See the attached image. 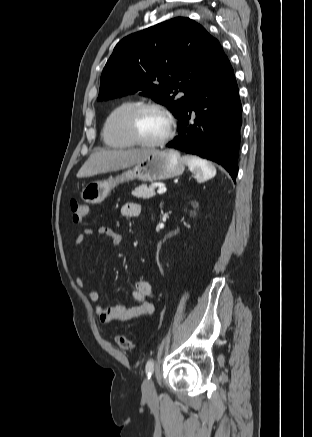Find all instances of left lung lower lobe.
I'll return each instance as SVG.
<instances>
[{
    "label": "left lung lower lobe",
    "instance_id": "left-lung-lower-lobe-1",
    "mask_svg": "<svg viewBox=\"0 0 312 437\" xmlns=\"http://www.w3.org/2000/svg\"><path fill=\"white\" fill-rule=\"evenodd\" d=\"M179 122V135L167 147L212 160L223 166L235 181L242 106L226 55L192 98Z\"/></svg>",
    "mask_w": 312,
    "mask_h": 437
}]
</instances>
